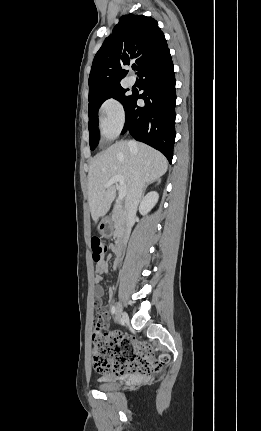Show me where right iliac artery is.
<instances>
[{
    "label": "right iliac artery",
    "mask_w": 261,
    "mask_h": 431,
    "mask_svg": "<svg viewBox=\"0 0 261 431\" xmlns=\"http://www.w3.org/2000/svg\"><path fill=\"white\" fill-rule=\"evenodd\" d=\"M111 313H112L113 315L116 313V307H115V306H112V308H111Z\"/></svg>",
    "instance_id": "right-iliac-artery-1"
}]
</instances>
